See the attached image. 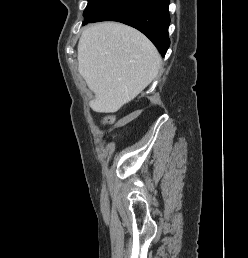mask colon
Wrapping results in <instances>:
<instances>
[{"label": "colon", "mask_w": 248, "mask_h": 258, "mask_svg": "<svg viewBox=\"0 0 248 258\" xmlns=\"http://www.w3.org/2000/svg\"><path fill=\"white\" fill-rule=\"evenodd\" d=\"M114 121V116L112 115H109V116H106L104 119H103V123H111Z\"/></svg>", "instance_id": "1"}]
</instances>
